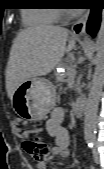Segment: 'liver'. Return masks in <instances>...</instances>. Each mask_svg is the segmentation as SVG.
<instances>
[{
  "instance_id": "obj_1",
  "label": "liver",
  "mask_w": 104,
  "mask_h": 169,
  "mask_svg": "<svg viewBox=\"0 0 104 169\" xmlns=\"http://www.w3.org/2000/svg\"><path fill=\"white\" fill-rule=\"evenodd\" d=\"M69 31L59 26H36L20 31L13 41L6 69V90L12 99L26 80L49 74L65 53L75 47L66 45Z\"/></svg>"
}]
</instances>
